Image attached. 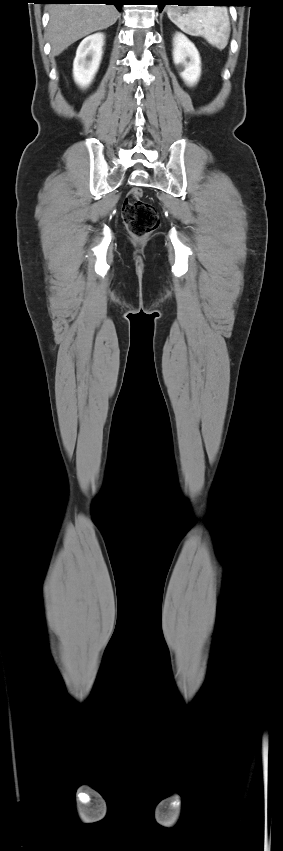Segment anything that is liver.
Here are the masks:
<instances>
[{"mask_svg": "<svg viewBox=\"0 0 283 851\" xmlns=\"http://www.w3.org/2000/svg\"><path fill=\"white\" fill-rule=\"evenodd\" d=\"M49 13L47 35L52 56L95 31L107 29L119 17L117 9L106 4H55Z\"/></svg>", "mask_w": 283, "mask_h": 851, "instance_id": "6515ba94", "label": "liver"}]
</instances>
